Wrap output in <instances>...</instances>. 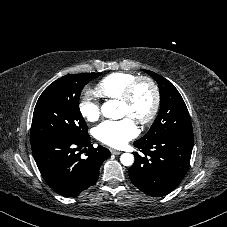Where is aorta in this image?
Here are the masks:
<instances>
[{
  "label": "aorta",
  "instance_id": "obj_1",
  "mask_svg": "<svg viewBox=\"0 0 227 227\" xmlns=\"http://www.w3.org/2000/svg\"><path fill=\"white\" fill-rule=\"evenodd\" d=\"M117 106V100H109L102 105L101 112L106 118H120ZM120 160L124 166H131L134 162V156L131 153H123Z\"/></svg>",
  "mask_w": 227,
  "mask_h": 227
}]
</instances>
